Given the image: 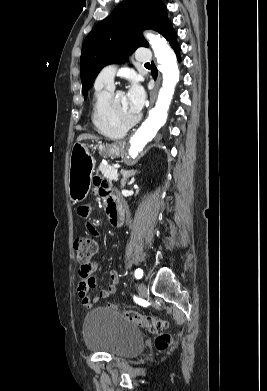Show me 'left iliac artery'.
<instances>
[{
  "mask_svg": "<svg viewBox=\"0 0 267 391\" xmlns=\"http://www.w3.org/2000/svg\"><path fill=\"white\" fill-rule=\"evenodd\" d=\"M142 276H143V270L140 269V268L136 269V271H135V277H136L137 279H140V278H142Z\"/></svg>",
  "mask_w": 267,
  "mask_h": 391,
  "instance_id": "obj_1",
  "label": "left iliac artery"
}]
</instances>
